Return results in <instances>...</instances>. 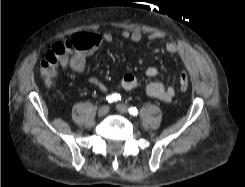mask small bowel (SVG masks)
<instances>
[{
  "label": "small bowel",
  "instance_id": "1",
  "mask_svg": "<svg viewBox=\"0 0 245 187\" xmlns=\"http://www.w3.org/2000/svg\"><path fill=\"white\" fill-rule=\"evenodd\" d=\"M121 37L123 40H129L132 42H140L143 40L144 35L140 31H122ZM150 41H163L165 34L160 31L150 32L145 36ZM113 41V35L109 32L102 34H94L83 41V44L87 48L91 49L93 42L111 43ZM165 50L170 54L179 55L187 66H192L195 62L196 56L191 48L178 41H169L165 45ZM62 68H70L75 72H83L87 66V56L83 52H73L67 56V58L60 63ZM146 76L148 78H154L158 75V69L155 66H150L146 69ZM90 84L97 87L99 90L105 92L108 90V86L96 78L90 79ZM138 85V78L132 73L125 74L118 84V88L126 91L134 89ZM146 93L161 102H170L174 95V87H165L162 83L152 81L146 86Z\"/></svg>",
  "mask_w": 245,
  "mask_h": 187
}]
</instances>
